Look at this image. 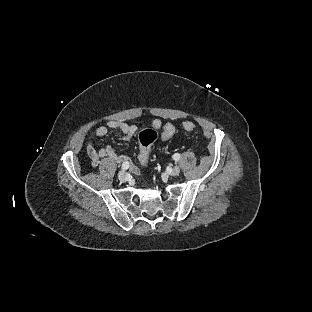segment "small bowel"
Instances as JSON below:
<instances>
[{
    "label": "small bowel",
    "instance_id": "obj_1",
    "mask_svg": "<svg viewBox=\"0 0 312 312\" xmlns=\"http://www.w3.org/2000/svg\"><path fill=\"white\" fill-rule=\"evenodd\" d=\"M156 120H159V119H156ZM110 129L120 131L121 138L128 140L136 134L138 127L135 124L126 123V122L119 121V120H113V121L108 122L107 125L98 127L94 131L87 146V153L91 159L92 165L95 167L98 166L101 159L105 157L111 158L118 162L127 160L125 156L117 154L115 150L110 146H106L101 149H97L95 147V140L98 138L105 137L108 134ZM130 171L134 175L138 174V169L135 166H132L130 168Z\"/></svg>",
    "mask_w": 312,
    "mask_h": 312
}]
</instances>
